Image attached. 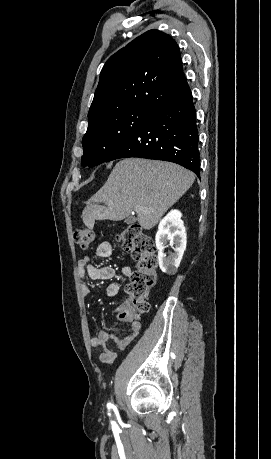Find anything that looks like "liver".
Returning a JSON list of instances; mask_svg holds the SVG:
<instances>
[{
	"label": "liver",
	"instance_id": "1",
	"mask_svg": "<svg viewBox=\"0 0 271 459\" xmlns=\"http://www.w3.org/2000/svg\"><path fill=\"white\" fill-rule=\"evenodd\" d=\"M195 180L185 168L143 158H123L113 168L106 184L87 202L82 218L85 226L94 228L95 220H125L136 212L144 229L158 224ZM103 202L105 206H98Z\"/></svg>",
	"mask_w": 271,
	"mask_h": 459
}]
</instances>
